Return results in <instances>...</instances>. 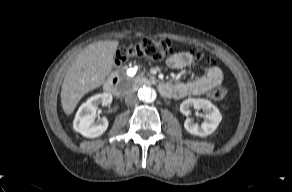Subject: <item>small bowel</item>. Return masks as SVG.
Returning <instances> with one entry per match:
<instances>
[{"label": "small bowel", "instance_id": "1", "mask_svg": "<svg viewBox=\"0 0 292 192\" xmlns=\"http://www.w3.org/2000/svg\"><path fill=\"white\" fill-rule=\"evenodd\" d=\"M194 63L193 57L189 52H178L171 55L167 60V65L172 69H181ZM223 74L220 68L210 67L205 73L192 80L180 82L175 86L170 85V90L164 96L182 98L191 95H201L214 86L220 84Z\"/></svg>", "mask_w": 292, "mask_h": 192}]
</instances>
